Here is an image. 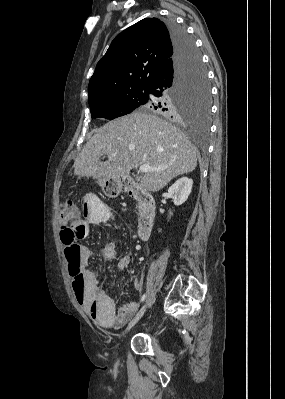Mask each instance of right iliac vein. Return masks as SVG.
I'll return each mask as SVG.
<instances>
[{
  "label": "right iliac vein",
  "mask_w": 285,
  "mask_h": 399,
  "mask_svg": "<svg viewBox=\"0 0 285 399\" xmlns=\"http://www.w3.org/2000/svg\"><path fill=\"white\" fill-rule=\"evenodd\" d=\"M148 304H149V299H147L145 301L144 305L140 308V310L138 311L136 316L128 324L127 328L125 329V331L123 333V336H125L131 330V328L134 327V325L141 319V317L143 316L144 312L147 309Z\"/></svg>",
  "instance_id": "obj_1"
}]
</instances>
